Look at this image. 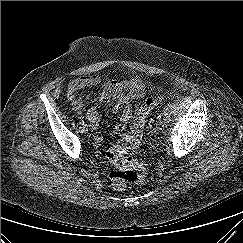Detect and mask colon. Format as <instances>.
Listing matches in <instances>:
<instances>
[{"label":"colon","mask_w":243,"mask_h":243,"mask_svg":"<svg viewBox=\"0 0 243 243\" xmlns=\"http://www.w3.org/2000/svg\"><path fill=\"white\" fill-rule=\"evenodd\" d=\"M165 99V95L148 98L136 110L129 132L107 151L106 157L114 166L110 172V180L116 190H122L127 183L136 184L143 181L148 165L135 161L130 153L140 144L150 111Z\"/></svg>","instance_id":"obj_1"}]
</instances>
